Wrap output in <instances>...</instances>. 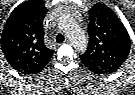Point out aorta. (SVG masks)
I'll use <instances>...</instances> for the list:
<instances>
[{
    "mask_svg": "<svg viewBox=\"0 0 135 95\" xmlns=\"http://www.w3.org/2000/svg\"><path fill=\"white\" fill-rule=\"evenodd\" d=\"M70 38L73 41V45L77 50H84L86 48V38L80 29L75 28V30L68 32Z\"/></svg>",
    "mask_w": 135,
    "mask_h": 95,
    "instance_id": "762f6f07",
    "label": "aorta"
}]
</instances>
